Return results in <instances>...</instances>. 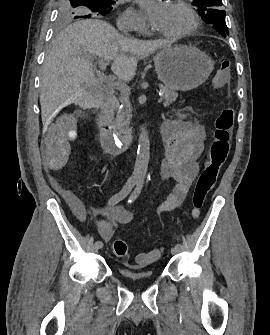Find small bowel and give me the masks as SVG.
I'll use <instances>...</instances> for the list:
<instances>
[{
  "label": "small bowel",
  "mask_w": 270,
  "mask_h": 335,
  "mask_svg": "<svg viewBox=\"0 0 270 335\" xmlns=\"http://www.w3.org/2000/svg\"><path fill=\"white\" fill-rule=\"evenodd\" d=\"M162 136L166 156L160 164V177L173 180L175 186L157 210L169 212L182 204L198 173V159L204 150L205 131L200 125L183 120H168L163 123ZM75 137L76 122L67 116L58 119L47 140L46 155L52 158H47L46 164L51 165L52 169H59L60 165H70L71 160L66 154L74 151V144L67 143ZM100 214L103 219L96 224V228L104 240L112 238L117 224L132 220V214L119 205L103 210Z\"/></svg>",
  "instance_id": "1"
}]
</instances>
